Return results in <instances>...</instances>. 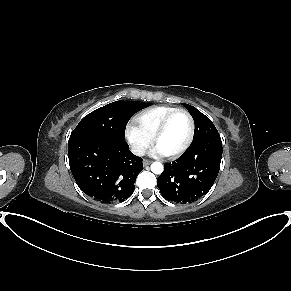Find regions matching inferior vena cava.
Returning a JSON list of instances; mask_svg holds the SVG:
<instances>
[{
  "label": "inferior vena cava",
  "mask_w": 291,
  "mask_h": 291,
  "mask_svg": "<svg viewBox=\"0 0 291 291\" xmlns=\"http://www.w3.org/2000/svg\"><path fill=\"white\" fill-rule=\"evenodd\" d=\"M133 154L137 156H144L145 155V148L141 145H133L131 148Z\"/></svg>",
  "instance_id": "obj_1"
}]
</instances>
